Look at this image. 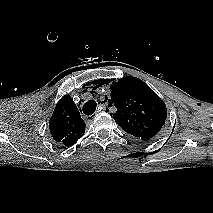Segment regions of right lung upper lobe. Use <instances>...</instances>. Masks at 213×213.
Masks as SVG:
<instances>
[{"mask_svg": "<svg viewBox=\"0 0 213 213\" xmlns=\"http://www.w3.org/2000/svg\"><path fill=\"white\" fill-rule=\"evenodd\" d=\"M50 133L60 145L71 146L84 135L85 123L70 95L57 103L49 122Z\"/></svg>", "mask_w": 213, "mask_h": 213, "instance_id": "1", "label": "right lung upper lobe"}]
</instances>
